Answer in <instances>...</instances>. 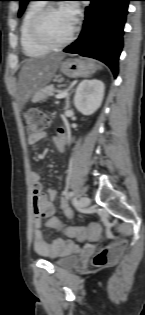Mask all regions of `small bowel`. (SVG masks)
<instances>
[{
  "label": "small bowel",
  "instance_id": "obj_1",
  "mask_svg": "<svg viewBox=\"0 0 145 315\" xmlns=\"http://www.w3.org/2000/svg\"><path fill=\"white\" fill-rule=\"evenodd\" d=\"M44 131H37L27 137L28 145H35L45 137ZM70 140V136L63 128L58 129L57 134L53 138L56 149L63 152L67 141ZM31 184L33 194V232L32 240L34 250L42 256L51 257L57 255H63L73 252L77 248V243L74 241L65 240L61 237L55 238L52 242H47L45 235L42 231V227H51L56 229H62L64 227L63 222L54 216L55 207L52 201L56 197L55 189H47L43 192L40 174L37 171L31 172ZM59 208L65 214V216L73 220L75 214L65 197H61L59 200ZM91 238H83L80 240H87Z\"/></svg>",
  "mask_w": 145,
  "mask_h": 315
}]
</instances>
